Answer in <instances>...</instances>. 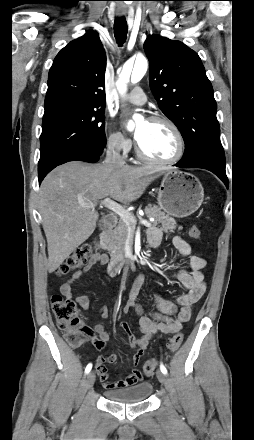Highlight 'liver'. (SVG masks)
Here are the masks:
<instances>
[{
	"mask_svg": "<svg viewBox=\"0 0 254 440\" xmlns=\"http://www.w3.org/2000/svg\"><path fill=\"white\" fill-rule=\"evenodd\" d=\"M154 173L148 167L81 162H69L51 171L39 189V211L48 244V271L52 273L59 268L94 232L99 214L83 204L105 197L131 203L158 177Z\"/></svg>",
	"mask_w": 254,
	"mask_h": 440,
	"instance_id": "6515ba94",
	"label": "liver"
}]
</instances>
